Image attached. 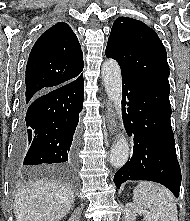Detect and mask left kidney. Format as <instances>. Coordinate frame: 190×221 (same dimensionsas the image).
<instances>
[{"label": "left kidney", "instance_id": "1", "mask_svg": "<svg viewBox=\"0 0 190 221\" xmlns=\"http://www.w3.org/2000/svg\"><path fill=\"white\" fill-rule=\"evenodd\" d=\"M125 212L126 221H136L137 215H143L147 221H158V218L155 215L151 214L147 210L137 207L133 203L126 204Z\"/></svg>", "mask_w": 190, "mask_h": 221}]
</instances>
